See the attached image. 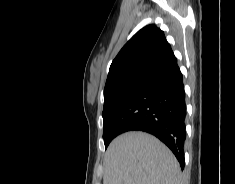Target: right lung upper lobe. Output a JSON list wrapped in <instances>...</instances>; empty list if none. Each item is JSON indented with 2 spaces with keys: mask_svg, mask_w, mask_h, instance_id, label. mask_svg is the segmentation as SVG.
Instances as JSON below:
<instances>
[{
  "mask_svg": "<svg viewBox=\"0 0 235 184\" xmlns=\"http://www.w3.org/2000/svg\"><path fill=\"white\" fill-rule=\"evenodd\" d=\"M173 55L164 32L154 24L138 31L113 60L104 93L133 77L146 76L159 63Z\"/></svg>",
  "mask_w": 235,
  "mask_h": 184,
  "instance_id": "cb5924a9",
  "label": "right lung upper lobe"
}]
</instances>
